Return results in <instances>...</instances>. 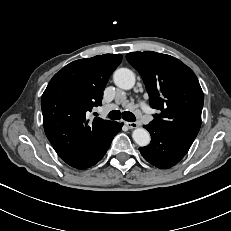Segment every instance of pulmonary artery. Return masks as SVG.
Masks as SVG:
<instances>
[{"instance_id": "pulmonary-artery-1", "label": "pulmonary artery", "mask_w": 231, "mask_h": 231, "mask_svg": "<svg viewBox=\"0 0 231 231\" xmlns=\"http://www.w3.org/2000/svg\"><path fill=\"white\" fill-rule=\"evenodd\" d=\"M144 111H145L146 113H149V110H148L147 108H144Z\"/></svg>"}]
</instances>
